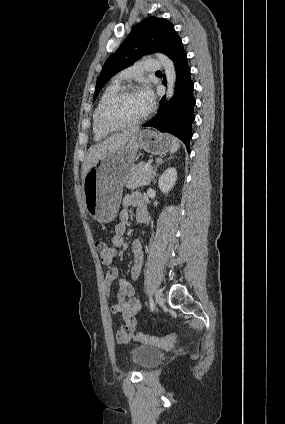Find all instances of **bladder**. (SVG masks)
<instances>
[{
	"instance_id": "bladder-1",
	"label": "bladder",
	"mask_w": 285,
	"mask_h": 424,
	"mask_svg": "<svg viewBox=\"0 0 285 424\" xmlns=\"http://www.w3.org/2000/svg\"><path fill=\"white\" fill-rule=\"evenodd\" d=\"M162 358L163 352L151 346L135 345L130 350L132 363L142 369H149L156 366Z\"/></svg>"
}]
</instances>
